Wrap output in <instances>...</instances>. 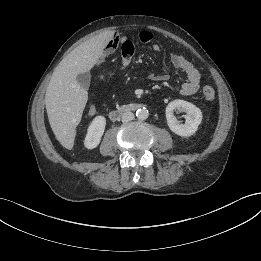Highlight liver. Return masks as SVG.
I'll return each instance as SVG.
<instances>
[{
    "mask_svg": "<svg viewBox=\"0 0 261 261\" xmlns=\"http://www.w3.org/2000/svg\"><path fill=\"white\" fill-rule=\"evenodd\" d=\"M113 36L114 31L103 32L76 47L59 63L48 84L45 105L49 123L64 147H72L76 126L88 100V92L76 77L93 68Z\"/></svg>",
    "mask_w": 261,
    "mask_h": 261,
    "instance_id": "6515ba94",
    "label": "liver"
}]
</instances>
